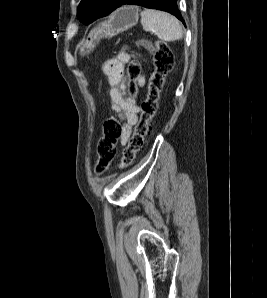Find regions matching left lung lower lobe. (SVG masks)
I'll return each instance as SVG.
<instances>
[{"label":"left lung lower lobe","instance_id":"1","mask_svg":"<svg viewBox=\"0 0 267 298\" xmlns=\"http://www.w3.org/2000/svg\"><path fill=\"white\" fill-rule=\"evenodd\" d=\"M126 4L139 5L146 8L167 11L176 16L179 20H181L184 23V21L181 18L180 12L177 8V0H115L114 4L111 6L108 12L97 15L95 19L87 22L86 24H89L100 17L107 16L118 7Z\"/></svg>","mask_w":267,"mask_h":298}]
</instances>
